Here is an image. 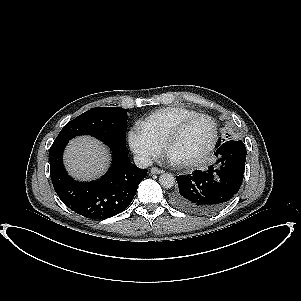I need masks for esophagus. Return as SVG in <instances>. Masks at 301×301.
Returning <instances> with one entry per match:
<instances>
[{
	"label": "esophagus",
	"instance_id": "esophagus-1",
	"mask_svg": "<svg viewBox=\"0 0 301 301\" xmlns=\"http://www.w3.org/2000/svg\"><path fill=\"white\" fill-rule=\"evenodd\" d=\"M150 172H151V174H160V173H163L164 170L159 169L157 167H153V168H151Z\"/></svg>",
	"mask_w": 301,
	"mask_h": 301
}]
</instances>
